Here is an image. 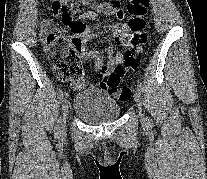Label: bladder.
Here are the masks:
<instances>
[{"label":"bladder","mask_w":207,"mask_h":179,"mask_svg":"<svg viewBox=\"0 0 207 179\" xmlns=\"http://www.w3.org/2000/svg\"><path fill=\"white\" fill-rule=\"evenodd\" d=\"M73 112L88 124L100 125L118 119L121 107L108 91L90 85L74 96Z\"/></svg>","instance_id":"1"}]
</instances>
